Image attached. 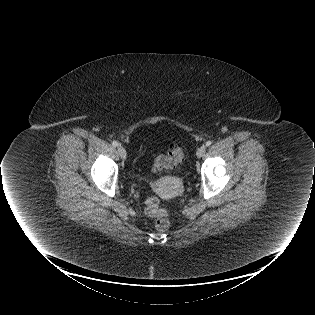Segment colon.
Listing matches in <instances>:
<instances>
[{
  "instance_id": "5ec220e1",
  "label": "colon",
  "mask_w": 315,
  "mask_h": 315,
  "mask_svg": "<svg viewBox=\"0 0 315 315\" xmlns=\"http://www.w3.org/2000/svg\"><path fill=\"white\" fill-rule=\"evenodd\" d=\"M184 156L183 149L179 146L172 147L166 156L156 159L155 170L172 169L179 165ZM146 212L153 217L154 225L159 231H166L170 227V219L166 209L159 206L156 197H149L146 200Z\"/></svg>"
}]
</instances>
